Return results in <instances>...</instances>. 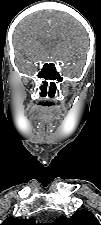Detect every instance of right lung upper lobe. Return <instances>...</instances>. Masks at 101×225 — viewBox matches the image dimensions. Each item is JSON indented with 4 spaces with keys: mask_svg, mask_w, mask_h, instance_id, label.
<instances>
[{
    "mask_svg": "<svg viewBox=\"0 0 101 225\" xmlns=\"http://www.w3.org/2000/svg\"><path fill=\"white\" fill-rule=\"evenodd\" d=\"M2 225H38V224H36V221L33 218L19 219V218L8 217L4 220Z\"/></svg>",
    "mask_w": 101,
    "mask_h": 225,
    "instance_id": "cb5924a9",
    "label": "right lung upper lobe"
}]
</instances>
